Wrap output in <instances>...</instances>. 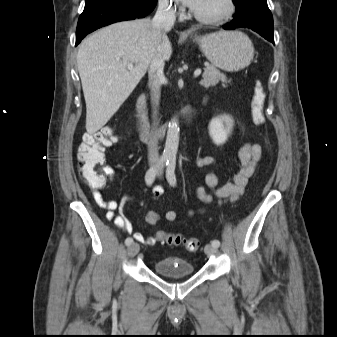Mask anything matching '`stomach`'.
I'll use <instances>...</instances> for the list:
<instances>
[{
  "instance_id": "1",
  "label": "stomach",
  "mask_w": 337,
  "mask_h": 337,
  "mask_svg": "<svg viewBox=\"0 0 337 337\" xmlns=\"http://www.w3.org/2000/svg\"><path fill=\"white\" fill-rule=\"evenodd\" d=\"M196 41L212 65L228 72L244 69L254 57L251 40L240 31H220L196 37Z\"/></svg>"
}]
</instances>
